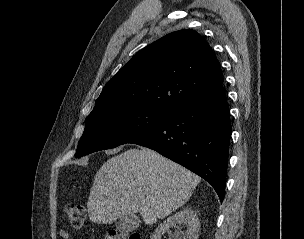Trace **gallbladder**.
Segmentation results:
<instances>
[{"mask_svg": "<svg viewBox=\"0 0 304 239\" xmlns=\"http://www.w3.org/2000/svg\"><path fill=\"white\" fill-rule=\"evenodd\" d=\"M139 223L140 219L136 215H127L119 219L116 229L121 233L131 232L139 226Z\"/></svg>", "mask_w": 304, "mask_h": 239, "instance_id": "bac80fb5", "label": "gallbladder"}]
</instances>
